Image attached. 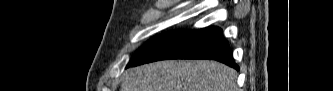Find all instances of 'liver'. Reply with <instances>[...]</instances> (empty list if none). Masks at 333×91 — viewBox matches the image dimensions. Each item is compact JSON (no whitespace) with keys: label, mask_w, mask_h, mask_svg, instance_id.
<instances>
[{"label":"liver","mask_w":333,"mask_h":91,"mask_svg":"<svg viewBox=\"0 0 333 91\" xmlns=\"http://www.w3.org/2000/svg\"><path fill=\"white\" fill-rule=\"evenodd\" d=\"M236 79L216 61H160L128 70L121 91H237Z\"/></svg>","instance_id":"1"}]
</instances>
